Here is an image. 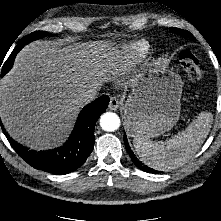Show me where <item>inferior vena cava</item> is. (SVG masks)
I'll return each mask as SVG.
<instances>
[{"label": "inferior vena cava", "mask_w": 221, "mask_h": 221, "mask_svg": "<svg viewBox=\"0 0 221 221\" xmlns=\"http://www.w3.org/2000/svg\"><path fill=\"white\" fill-rule=\"evenodd\" d=\"M98 90L96 87L84 89L77 95V99L82 104L90 103L97 98Z\"/></svg>", "instance_id": "inferior-vena-cava-1"}]
</instances>
